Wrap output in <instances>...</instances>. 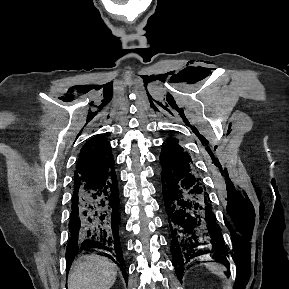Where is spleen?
<instances>
[{
  "mask_svg": "<svg viewBox=\"0 0 289 289\" xmlns=\"http://www.w3.org/2000/svg\"><path fill=\"white\" fill-rule=\"evenodd\" d=\"M206 267L214 274L224 278L225 274H224V268L223 266H221V264L216 263V262H210V263H206L205 264Z\"/></svg>",
  "mask_w": 289,
  "mask_h": 289,
  "instance_id": "3e777b00",
  "label": "spleen"
}]
</instances>
